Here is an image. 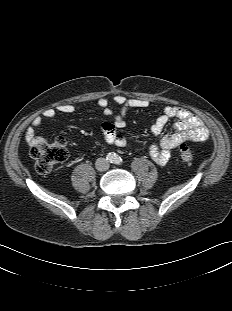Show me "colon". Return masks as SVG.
Returning a JSON list of instances; mask_svg holds the SVG:
<instances>
[{"instance_id": "5ec220e1", "label": "colon", "mask_w": 232, "mask_h": 311, "mask_svg": "<svg viewBox=\"0 0 232 311\" xmlns=\"http://www.w3.org/2000/svg\"><path fill=\"white\" fill-rule=\"evenodd\" d=\"M30 155L35 162V170L39 173H47L55 165L67 159L68 149L65 141L57 139L53 142L37 143L31 147ZM179 157L186 164H191L193 161V153L186 145L180 146Z\"/></svg>"}]
</instances>
